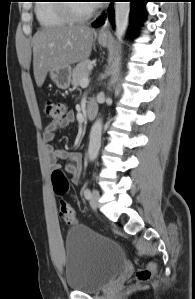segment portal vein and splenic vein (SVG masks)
Here are the masks:
<instances>
[{
  "label": "portal vein and splenic vein",
  "instance_id": "1",
  "mask_svg": "<svg viewBox=\"0 0 195 299\" xmlns=\"http://www.w3.org/2000/svg\"><path fill=\"white\" fill-rule=\"evenodd\" d=\"M89 84V78H83L80 82L81 87H86Z\"/></svg>",
  "mask_w": 195,
  "mask_h": 299
}]
</instances>
